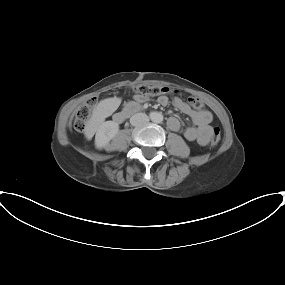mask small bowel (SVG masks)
I'll list each match as a JSON object with an SVG mask.
<instances>
[{
  "label": "small bowel",
  "mask_w": 285,
  "mask_h": 285,
  "mask_svg": "<svg viewBox=\"0 0 285 285\" xmlns=\"http://www.w3.org/2000/svg\"><path fill=\"white\" fill-rule=\"evenodd\" d=\"M147 100L146 97H142L138 94L134 96V99L129 104H140ZM168 102L167 98L162 96L159 98V103L166 105ZM173 105L180 112L187 115L193 122V126L187 127L184 130V137L188 141H195L200 145H207L211 140V126L212 114L207 110H194L186 102L176 97L173 100ZM168 127L172 131H179L181 128V123L178 118L171 117L168 120Z\"/></svg>",
  "instance_id": "obj_1"
}]
</instances>
